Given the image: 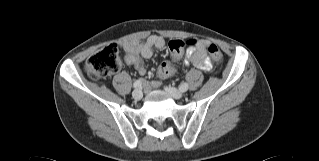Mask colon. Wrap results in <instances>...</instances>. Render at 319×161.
<instances>
[{"mask_svg": "<svg viewBox=\"0 0 319 161\" xmlns=\"http://www.w3.org/2000/svg\"><path fill=\"white\" fill-rule=\"evenodd\" d=\"M195 41H170L168 48L174 60L179 57L181 50L184 47H193ZM212 59L217 62H222V54L219 47L215 43H210L207 47ZM122 59L120 58L117 48L114 45L107 46L98 53L92 55L85 64V70L92 79H100L108 77L121 67ZM167 66V65H164Z\"/></svg>", "mask_w": 319, "mask_h": 161, "instance_id": "1", "label": "colon"}]
</instances>
